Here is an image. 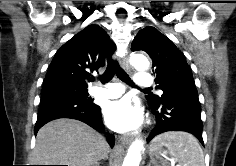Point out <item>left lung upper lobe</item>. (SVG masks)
I'll use <instances>...</instances> for the list:
<instances>
[{
	"label": "left lung upper lobe",
	"mask_w": 236,
	"mask_h": 166,
	"mask_svg": "<svg viewBox=\"0 0 236 166\" xmlns=\"http://www.w3.org/2000/svg\"><path fill=\"white\" fill-rule=\"evenodd\" d=\"M132 51H145L153 60L158 95H146L149 105L159 106L176 90H196L195 82L184 54L154 27H145L134 38Z\"/></svg>",
	"instance_id": "5c2ea615"
}]
</instances>
